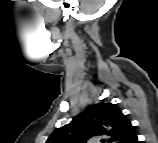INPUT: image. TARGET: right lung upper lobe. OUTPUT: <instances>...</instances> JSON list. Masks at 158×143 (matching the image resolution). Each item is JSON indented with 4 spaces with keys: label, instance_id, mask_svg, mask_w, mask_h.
I'll list each match as a JSON object with an SVG mask.
<instances>
[{
    "label": "right lung upper lobe",
    "instance_id": "obj_1",
    "mask_svg": "<svg viewBox=\"0 0 158 143\" xmlns=\"http://www.w3.org/2000/svg\"><path fill=\"white\" fill-rule=\"evenodd\" d=\"M103 138L105 143H135L134 127L119 107L101 102L89 106L69 124L56 129L46 143H87Z\"/></svg>",
    "mask_w": 158,
    "mask_h": 143
}]
</instances>
